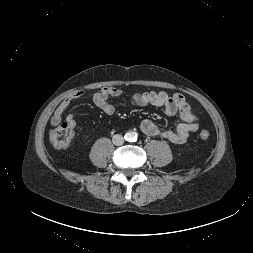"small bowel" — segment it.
Here are the masks:
<instances>
[{
	"label": "small bowel",
	"instance_id": "small-bowel-1",
	"mask_svg": "<svg viewBox=\"0 0 253 253\" xmlns=\"http://www.w3.org/2000/svg\"><path fill=\"white\" fill-rule=\"evenodd\" d=\"M84 95L83 91H75L64 98L55 109L51 124L58 126L65 114V111L70 106L71 102L81 98ZM122 90L115 87L103 88L92 96L93 103L100 108L107 115H112L115 112L111 99L120 97ZM131 103L136 106H156L162 107L167 115H179L181 122L174 129H162L152 120H143L140 128L143 133L148 136L160 138L171 143L183 144L190 134L197 131L199 128V119L194 114L191 105L187 102L185 97L180 93L169 95L164 91H146L136 93L131 98ZM66 122L70 123L73 128L76 125L75 116L69 113L66 116Z\"/></svg>",
	"mask_w": 253,
	"mask_h": 253
}]
</instances>
